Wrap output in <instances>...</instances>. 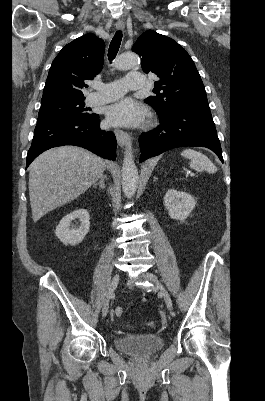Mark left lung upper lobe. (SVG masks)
<instances>
[{
  "instance_id": "1",
  "label": "left lung upper lobe",
  "mask_w": 265,
  "mask_h": 401,
  "mask_svg": "<svg viewBox=\"0 0 265 401\" xmlns=\"http://www.w3.org/2000/svg\"><path fill=\"white\" fill-rule=\"evenodd\" d=\"M132 51L142 57L145 73L159 78L145 102L158 114L177 111L183 107H209L205 88L189 54L173 39L153 30L144 32Z\"/></svg>"
}]
</instances>
